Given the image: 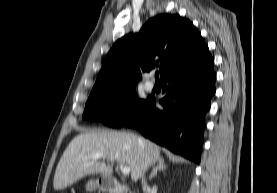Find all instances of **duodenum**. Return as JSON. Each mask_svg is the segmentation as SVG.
Returning a JSON list of instances; mask_svg holds the SVG:
<instances>
[{"label":"duodenum","mask_w":277,"mask_h":193,"mask_svg":"<svg viewBox=\"0 0 277 193\" xmlns=\"http://www.w3.org/2000/svg\"><path fill=\"white\" fill-rule=\"evenodd\" d=\"M103 188L109 193H127L129 191L127 185H124L112 178L106 179L103 182Z\"/></svg>","instance_id":"duodenum-1"}]
</instances>
